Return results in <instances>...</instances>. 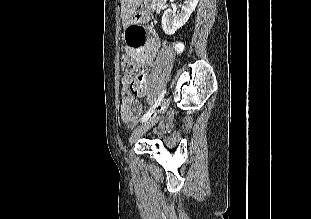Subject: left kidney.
<instances>
[{
	"label": "left kidney",
	"instance_id": "5707ae66",
	"mask_svg": "<svg viewBox=\"0 0 311 219\" xmlns=\"http://www.w3.org/2000/svg\"><path fill=\"white\" fill-rule=\"evenodd\" d=\"M173 1V0H170ZM199 0H186V4L181 7V11L175 13L172 9H167L162 16V29L167 35L174 34L182 27L195 10Z\"/></svg>",
	"mask_w": 311,
	"mask_h": 219
}]
</instances>
